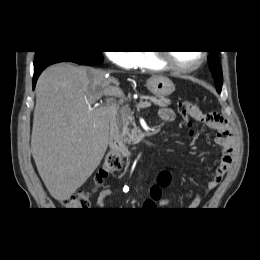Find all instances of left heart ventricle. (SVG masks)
Masks as SVG:
<instances>
[{"label": "left heart ventricle", "mask_w": 260, "mask_h": 260, "mask_svg": "<svg viewBox=\"0 0 260 260\" xmlns=\"http://www.w3.org/2000/svg\"><path fill=\"white\" fill-rule=\"evenodd\" d=\"M173 60L183 66H190L197 63L200 59L198 51H177L172 53Z\"/></svg>", "instance_id": "left-heart-ventricle-1"}]
</instances>
